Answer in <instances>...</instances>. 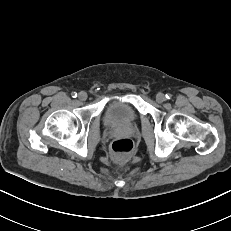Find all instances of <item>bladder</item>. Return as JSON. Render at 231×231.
Here are the masks:
<instances>
[{"mask_svg": "<svg viewBox=\"0 0 231 231\" xmlns=\"http://www.w3.org/2000/svg\"><path fill=\"white\" fill-rule=\"evenodd\" d=\"M137 112L132 104L122 99H113L106 107L103 121L109 126H124L134 123Z\"/></svg>", "mask_w": 231, "mask_h": 231, "instance_id": "bladder-1", "label": "bladder"}]
</instances>
